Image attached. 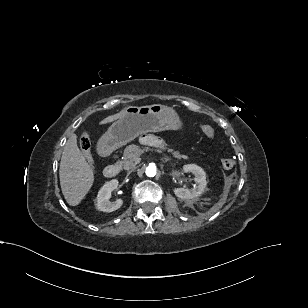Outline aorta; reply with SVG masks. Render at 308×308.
I'll return each instance as SVG.
<instances>
[{"label":"aorta","instance_id":"aorta-1","mask_svg":"<svg viewBox=\"0 0 308 308\" xmlns=\"http://www.w3.org/2000/svg\"><path fill=\"white\" fill-rule=\"evenodd\" d=\"M148 177H154L156 175V166L154 164H150L145 171Z\"/></svg>","mask_w":308,"mask_h":308}]
</instances>
